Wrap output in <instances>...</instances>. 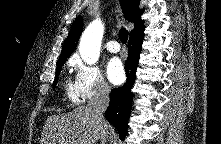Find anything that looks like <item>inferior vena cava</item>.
<instances>
[{
	"label": "inferior vena cava",
	"instance_id": "1",
	"mask_svg": "<svg viewBox=\"0 0 221 144\" xmlns=\"http://www.w3.org/2000/svg\"><path fill=\"white\" fill-rule=\"evenodd\" d=\"M110 100V87L107 84H100L93 97L88 102V109L100 125H105L106 121L104 118V113L109 105ZM107 133L102 130L100 136V143L106 144Z\"/></svg>",
	"mask_w": 221,
	"mask_h": 144
}]
</instances>
